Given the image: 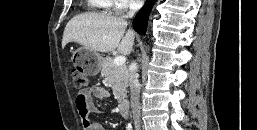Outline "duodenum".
Instances as JSON below:
<instances>
[{
	"mask_svg": "<svg viewBox=\"0 0 257 130\" xmlns=\"http://www.w3.org/2000/svg\"><path fill=\"white\" fill-rule=\"evenodd\" d=\"M118 110L119 113L123 116V117H127L129 114V102L126 99H121L118 103Z\"/></svg>",
	"mask_w": 257,
	"mask_h": 130,
	"instance_id": "1",
	"label": "duodenum"
}]
</instances>
